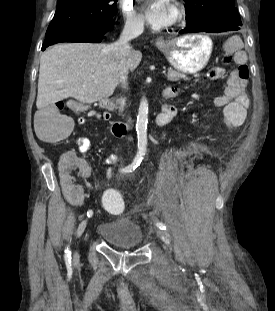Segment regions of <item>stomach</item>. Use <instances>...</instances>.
<instances>
[{"instance_id":"obj_1","label":"stomach","mask_w":275,"mask_h":311,"mask_svg":"<svg viewBox=\"0 0 275 311\" xmlns=\"http://www.w3.org/2000/svg\"><path fill=\"white\" fill-rule=\"evenodd\" d=\"M157 47L176 70L195 74L207 65L213 43L206 35L190 34L166 41Z\"/></svg>"}]
</instances>
